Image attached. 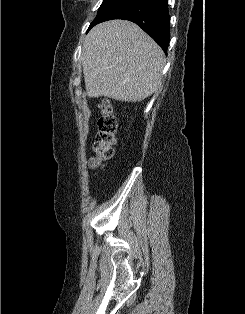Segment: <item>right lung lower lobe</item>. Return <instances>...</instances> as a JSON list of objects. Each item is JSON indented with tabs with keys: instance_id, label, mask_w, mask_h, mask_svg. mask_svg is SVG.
I'll use <instances>...</instances> for the list:
<instances>
[{
	"instance_id": "right-lung-lower-lobe-1",
	"label": "right lung lower lobe",
	"mask_w": 245,
	"mask_h": 314,
	"mask_svg": "<svg viewBox=\"0 0 245 314\" xmlns=\"http://www.w3.org/2000/svg\"><path fill=\"white\" fill-rule=\"evenodd\" d=\"M129 20L139 25L166 52L170 41V16L167 0H127L101 22Z\"/></svg>"
}]
</instances>
